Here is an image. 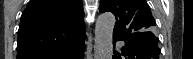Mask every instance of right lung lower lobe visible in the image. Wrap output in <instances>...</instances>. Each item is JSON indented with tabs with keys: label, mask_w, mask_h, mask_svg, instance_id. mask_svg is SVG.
I'll list each match as a JSON object with an SVG mask.
<instances>
[{
	"label": "right lung lower lobe",
	"mask_w": 193,
	"mask_h": 59,
	"mask_svg": "<svg viewBox=\"0 0 193 59\" xmlns=\"http://www.w3.org/2000/svg\"><path fill=\"white\" fill-rule=\"evenodd\" d=\"M84 50V39L66 49L62 53L50 57V59H82Z\"/></svg>",
	"instance_id": "obj_1"
}]
</instances>
